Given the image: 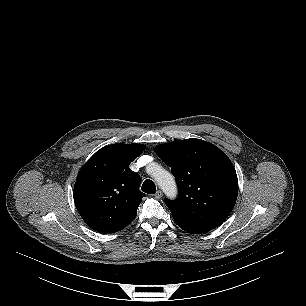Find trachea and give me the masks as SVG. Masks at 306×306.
Instances as JSON below:
<instances>
[{"mask_svg": "<svg viewBox=\"0 0 306 306\" xmlns=\"http://www.w3.org/2000/svg\"><path fill=\"white\" fill-rule=\"evenodd\" d=\"M141 190L148 194H155L156 186L152 180L147 179L143 182Z\"/></svg>", "mask_w": 306, "mask_h": 306, "instance_id": "obj_1", "label": "trachea"}]
</instances>
